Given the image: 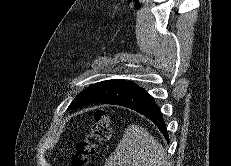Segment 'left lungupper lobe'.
I'll list each match as a JSON object with an SVG mask.
<instances>
[{
	"instance_id": "5c2ea615",
	"label": "left lung upper lobe",
	"mask_w": 231,
	"mask_h": 166,
	"mask_svg": "<svg viewBox=\"0 0 231 166\" xmlns=\"http://www.w3.org/2000/svg\"><path fill=\"white\" fill-rule=\"evenodd\" d=\"M125 82L126 80L113 79L91 85L89 88L83 90L76 96V98L69 105V109L74 110L89 105L100 96L114 90Z\"/></svg>"
}]
</instances>
